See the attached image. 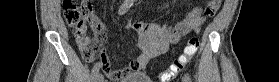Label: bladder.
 Here are the masks:
<instances>
[{"label": "bladder", "mask_w": 279, "mask_h": 82, "mask_svg": "<svg viewBox=\"0 0 279 82\" xmlns=\"http://www.w3.org/2000/svg\"><path fill=\"white\" fill-rule=\"evenodd\" d=\"M115 82H152L150 77L145 72H132L125 77L116 80Z\"/></svg>", "instance_id": "bladder-1"}]
</instances>
